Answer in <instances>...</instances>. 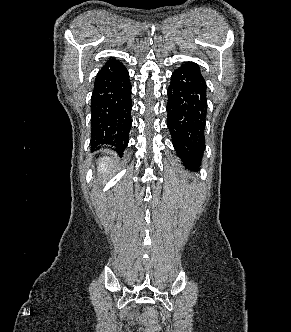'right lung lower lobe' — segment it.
Wrapping results in <instances>:
<instances>
[{"label": "right lung lower lobe", "mask_w": 291, "mask_h": 332, "mask_svg": "<svg viewBox=\"0 0 291 332\" xmlns=\"http://www.w3.org/2000/svg\"><path fill=\"white\" fill-rule=\"evenodd\" d=\"M131 83L126 67L110 59L95 78L91 98L92 145L110 144L122 153L131 129Z\"/></svg>", "instance_id": "obj_1"}]
</instances>
